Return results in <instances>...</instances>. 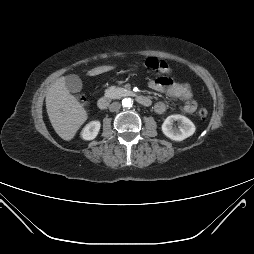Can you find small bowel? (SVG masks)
Masks as SVG:
<instances>
[{
	"mask_svg": "<svg viewBox=\"0 0 254 254\" xmlns=\"http://www.w3.org/2000/svg\"><path fill=\"white\" fill-rule=\"evenodd\" d=\"M149 88L166 93L169 97L184 101L182 107L186 113H193L197 109V103L192 98V91L188 83L175 82L169 77H158L148 81ZM154 110L158 114H162L167 110L164 102H158L154 105Z\"/></svg>",
	"mask_w": 254,
	"mask_h": 254,
	"instance_id": "obj_1",
	"label": "small bowel"
}]
</instances>
